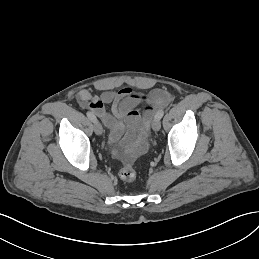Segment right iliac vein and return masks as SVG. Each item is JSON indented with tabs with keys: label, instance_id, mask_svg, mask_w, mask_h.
<instances>
[{
	"label": "right iliac vein",
	"instance_id": "63e3f726",
	"mask_svg": "<svg viewBox=\"0 0 259 259\" xmlns=\"http://www.w3.org/2000/svg\"><path fill=\"white\" fill-rule=\"evenodd\" d=\"M94 132L97 135H101L102 134V126H101V124L98 121L94 122Z\"/></svg>",
	"mask_w": 259,
	"mask_h": 259
}]
</instances>
